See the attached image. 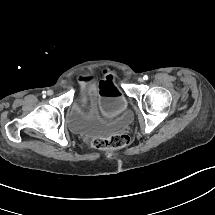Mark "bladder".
<instances>
[{"label":"bladder","mask_w":215,"mask_h":215,"mask_svg":"<svg viewBox=\"0 0 215 215\" xmlns=\"http://www.w3.org/2000/svg\"><path fill=\"white\" fill-rule=\"evenodd\" d=\"M127 116L112 121L78 118L71 116L68 122L69 129L77 135L108 136L121 130L126 124Z\"/></svg>","instance_id":"31cf9c89"}]
</instances>
